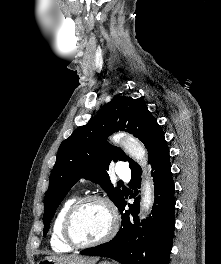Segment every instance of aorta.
Segmentation results:
<instances>
[{
  "label": "aorta",
  "mask_w": 221,
  "mask_h": 264,
  "mask_svg": "<svg viewBox=\"0 0 221 264\" xmlns=\"http://www.w3.org/2000/svg\"><path fill=\"white\" fill-rule=\"evenodd\" d=\"M114 140L120 141L124 151L146 170L147 153L140 142L128 136L124 138L116 137ZM153 192V183L150 180H147L146 182L143 181L141 186L140 219H145L152 208L154 201Z\"/></svg>",
  "instance_id": "1"
}]
</instances>
